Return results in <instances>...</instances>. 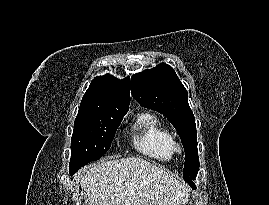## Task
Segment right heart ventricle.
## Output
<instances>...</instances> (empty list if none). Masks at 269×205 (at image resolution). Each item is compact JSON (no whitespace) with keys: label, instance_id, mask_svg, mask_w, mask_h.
Instances as JSON below:
<instances>
[{"label":"right heart ventricle","instance_id":"obj_1","mask_svg":"<svg viewBox=\"0 0 269 205\" xmlns=\"http://www.w3.org/2000/svg\"><path fill=\"white\" fill-rule=\"evenodd\" d=\"M131 143L137 152L155 161L168 162L174 156L172 132L152 113L137 117L132 125Z\"/></svg>","mask_w":269,"mask_h":205}]
</instances>
